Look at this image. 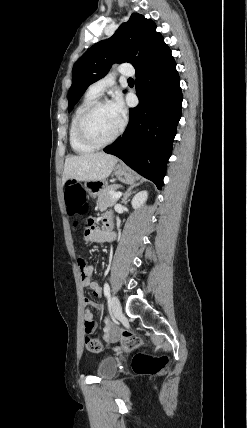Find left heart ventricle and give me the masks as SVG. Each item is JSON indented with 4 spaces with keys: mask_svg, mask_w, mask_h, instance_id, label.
Wrapping results in <instances>:
<instances>
[{
    "mask_svg": "<svg viewBox=\"0 0 247 428\" xmlns=\"http://www.w3.org/2000/svg\"><path fill=\"white\" fill-rule=\"evenodd\" d=\"M119 127L108 105L97 108L88 118V132L98 141L109 139Z\"/></svg>",
    "mask_w": 247,
    "mask_h": 428,
    "instance_id": "1",
    "label": "left heart ventricle"
}]
</instances>
